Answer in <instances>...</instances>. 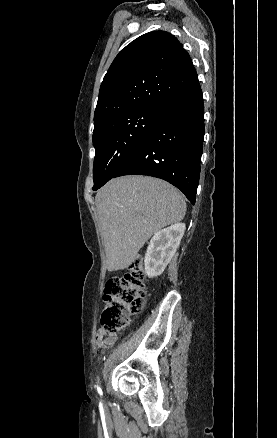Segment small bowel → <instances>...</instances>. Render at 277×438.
Returning <instances> with one entry per match:
<instances>
[{
    "label": "small bowel",
    "instance_id": "c3829d8e",
    "mask_svg": "<svg viewBox=\"0 0 277 438\" xmlns=\"http://www.w3.org/2000/svg\"><path fill=\"white\" fill-rule=\"evenodd\" d=\"M96 340L99 346L101 344H104L106 346H112L117 342L118 336L115 333L105 334L103 332H99Z\"/></svg>",
    "mask_w": 277,
    "mask_h": 438
}]
</instances>
